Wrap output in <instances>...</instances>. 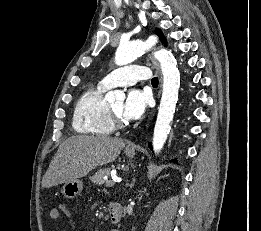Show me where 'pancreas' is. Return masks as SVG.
<instances>
[{
    "label": "pancreas",
    "mask_w": 261,
    "mask_h": 231,
    "mask_svg": "<svg viewBox=\"0 0 261 231\" xmlns=\"http://www.w3.org/2000/svg\"><path fill=\"white\" fill-rule=\"evenodd\" d=\"M109 174H110L109 168L100 169L91 177V181L94 184H98V185L104 184L105 181H104L103 177L105 175H109Z\"/></svg>",
    "instance_id": "cf45deb5"
}]
</instances>
